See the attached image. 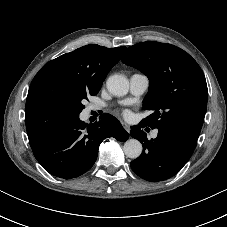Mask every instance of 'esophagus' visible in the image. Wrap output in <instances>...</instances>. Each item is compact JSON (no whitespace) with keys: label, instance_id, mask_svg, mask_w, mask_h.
Here are the masks:
<instances>
[{"label":"esophagus","instance_id":"obj_1","mask_svg":"<svg viewBox=\"0 0 227 227\" xmlns=\"http://www.w3.org/2000/svg\"><path fill=\"white\" fill-rule=\"evenodd\" d=\"M121 124H122L123 128L129 133L130 132V126L125 122H121Z\"/></svg>","mask_w":227,"mask_h":227}]
</instances>
